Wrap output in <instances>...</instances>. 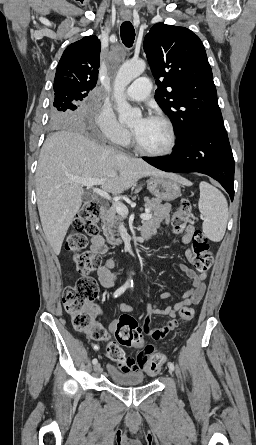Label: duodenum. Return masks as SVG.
<instances>
[{"label": "duodenum", "mask_w": 256, "mask_h": 445, "mask_svg": "<svg viewBox=\"0 0 256 445\" xmlns=\"http://www.w3.org/2000/svg\"><path fill=\"white\" fill-rule=\"evenodd\" d=\"M106 213H107V209L104 208V207H101L100 217L103 218L106 215ZM112 243L113 244H119V242L117 240H115V239L112 240Z\"/></svg>", "instance_id": "obj_1"}]
</instances>
